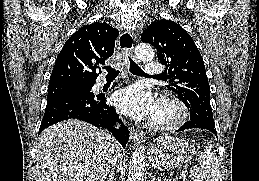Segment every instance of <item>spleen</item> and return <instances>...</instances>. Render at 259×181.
<instances>
[{"label":"spleen","mask_w":259,"mask_h":181,"mask_svg":"<svg viewBox=\"0 0 259 181\" xmlns=\"http://www.w3.org/2000/svg\"><path fill=\"white\" fill-rule=\"evenodd\" d=\"M200 167L190 171V177L193 181H218L219 165L217 154L211 143H207L198 158Z\"/></svg>","instance_id":"3e777b00"}]
</instances>
